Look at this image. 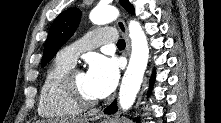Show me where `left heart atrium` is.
Listing matches in <instances>:
<instances>
[{
    "label": "left heart atrium",
    "instance_id": "left-heart-atrium-1",
    "mask_svg": "<svg viewBox=\"0 0 221 123\" xmlns=\"http://www.w3.org/2000/svg\"><path fill=\"white\" fill-rule=\"evenodd\" d=\"M86 75L95 95L104 98L116 87L119 71L114 59L97 55L90 59Z\"/></svg>",
    "mask_w": 221,
    "mask_h": 123
}]
</instances>
